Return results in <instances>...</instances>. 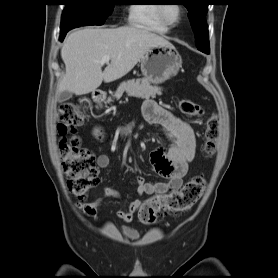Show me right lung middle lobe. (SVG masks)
I'll return each instance as SVG.
<instances>
[{
    "mask_svg": "<svg viewBox=\"0 0 278 278\" xmlns=\"http://www.w3.org/2000/svg\"><path fill=\"white\" fill-rule=\"evenodd\" d=\"M116 0H63L61 31L82 25H102L112 13Z\"/></svg>",
    "mask_w": 278,
    "mask_h": 278,
    "instance_id": "1",
    "label": "right lung middle lobe"
}]
</instances>
